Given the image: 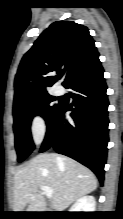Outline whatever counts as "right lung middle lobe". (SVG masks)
Returning a JSON list of instances; mask_svg holds the SVG:
<instances>
[{
  "label": "right lung middle lobe",
  "mask_w": 123,
  "mask_h": 219,
  "mask_svg": "<svg viewBox=\"0 0 123 219\" xmlns=\"http://www.w3.org/2000/svg\"><path fill=\"white\" fill-rule=\"evenodd\" d=\"M48 92L13 105L15 148L18 162H22L34 149L30 126L34 116H42L48 125L60 103Z\"/></svg>",
  "instance_id": "obj_1"
}]
</instances>
